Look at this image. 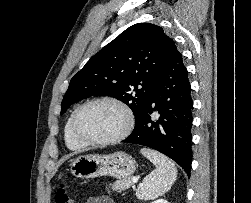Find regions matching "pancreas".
Here are the masks:
<instances>
[{"label":"pancreas","mask_w":251,"mask_h":203,"mask_svg":"<svg viewBox=\"0 0 251 203\" xmlns=\"http://www.w3.org/2000/svg\"><path fill=\"white\" fill-rule=\"evenodd\" d=\"M133 185L132 178H124L122 180H117L113 185H112V190L113 191H118L122 192L124 190H127L130 188V186Z\"/></svg>","instance_id":"obj_1"}]
</instances>
